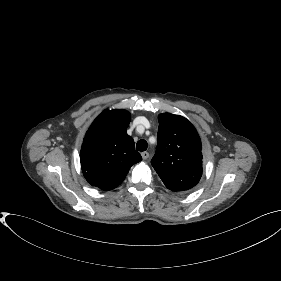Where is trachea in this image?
Listing matches in <instances>:
<instances>
[{
    "mask_svg": "<svg viewBox=\"0 0 281 281\" xmlns=\"http://www.w3.org/2000/svg\"><path fill=\"white\" fill-rule=\"evenodd\" d=\"M147 147L148 144L145 140H139L136 144V149L141 152L147 150Z\"/></svg>",
    "mask_w": 281,
    "mask_h": 281,
    "instance_id": "obj_1",
    "label": "trachea"
}]
</instances>
